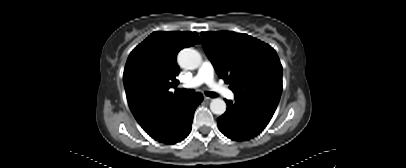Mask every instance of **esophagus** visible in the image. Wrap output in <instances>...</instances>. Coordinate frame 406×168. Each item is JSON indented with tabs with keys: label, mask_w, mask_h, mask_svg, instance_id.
I'll list each match as a JSON object with an SVG mask.
<instances>
[{
	"label": "esophagus",
	"mask_w": 406,
	"mask_h": 168,
	"mask_svg": "<svg viewBox=\"0 0 406 168\" xmlns=\"http://www.w3.org/2000/svg\"><path fill=\"white\" fill-rule=\"evenodd\" d=\"M204 99H205L206 101H211V100H212V98H211V97H208V96H204Z\"/></svg>",
	"instance_id": "obj_1"
}]
</instances>
